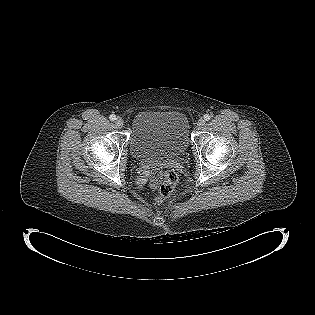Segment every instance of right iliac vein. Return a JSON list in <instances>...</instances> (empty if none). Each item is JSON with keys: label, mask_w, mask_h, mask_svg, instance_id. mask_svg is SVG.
Returning a JSON list of instances; mask_svg holds the SVG:
<instances>
[{"label": "right iliac vein", "mask_w": 315, "mask_h": 315, "mask_svg": "<svg viewBox=\"0 0 315 315\" xmlns=\"http://www.w3.org/2000/svg\"><path fill=\"white\" fill-rule=\"evenodd\" d=\"M123 124H124V122H123L122 118L118 117L115 119V125L117 128H122Z\"/></svg>", "instance_id": "1"}]
</instances>
